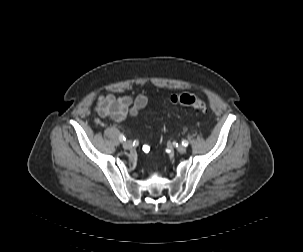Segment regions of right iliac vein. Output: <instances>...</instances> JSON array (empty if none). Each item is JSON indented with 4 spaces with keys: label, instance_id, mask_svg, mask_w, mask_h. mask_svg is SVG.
I'll return each mask as SVG.
<instances>
[{
    "label": "right iliac vein",
    "instance_id": "right-iliac-vein-1",
    "mask_svg": "<svg viewBox=\"0 0 303 252\" xmlns=\"http://www.w3.org/2000/svg\"><path fill=\"white\" fill-rule=\"evenodd\" d=\"M123 147L125 148V149H131L132 148V142L131 141H125V142H123Z\"/></svg>",
    "mask_w": 303,
    "mask_h": 252
}]
</instances>
